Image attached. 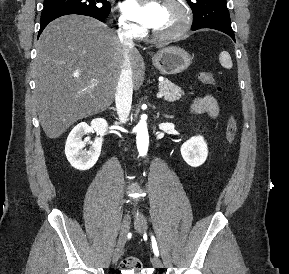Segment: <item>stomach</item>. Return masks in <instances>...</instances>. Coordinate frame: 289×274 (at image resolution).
I'll list each match as a JSON object with an SVG mask.
<instances>
[{
	"label": "stomach",
	"mask_w": 289,
	"mask_h": 274,
	"mask_svg": "<svg viewBox=\"0 0 289 274\" xmlns=\"http://www.w3.org/2000/svg\"><path fill=\"white\" fill-rule=\"evenodd\" d=\"M153 65L164 75L183 72L192 63V58L184 49L176 46L160 49L152 58Z\"/></svg>",
	"instance_id": "1"
}]
</instances>
